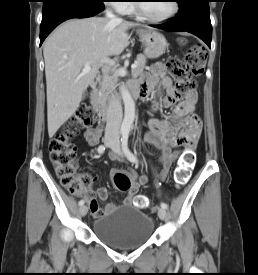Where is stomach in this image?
I'll list each match as a JSON object with an SVG mask.
<instances>
[{
    "instance_id": "obj_1",
    "label": "stomach",
    "mask_w": 258,
    "mask_h": 275,
    "mask_svg": "<svg viewBox=\"0 0 258 275\" xmlns=\"http://www.w3.org/2000/svg\"><path fill=\"white\" fill-rule=\"evenodd\" d=\"M137 33L144 46L145 56L154 59L160 57L165 52L167 41L164 35L149 29H139Z\"/></svg>"
}]
</instances>
